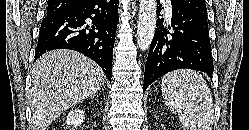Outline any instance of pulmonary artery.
<instances>
[{
    "instance_id": "pulmonary-artery-1",
    "label": "pulmonary artery",
    "mask_w": 249,
    "mask_h": 130,
    "mask_svg": "<svg viewBox=\"0 0 249 130\" xmlns=\"http://www.w3.org/2000/svg\"><path fill=\"white\" fill-rule=\"evenodd\" d=\"M162 1L165 4L167 13L170 15L172 12L170 0H162Z\"/></svg>"
}]
</instances>
